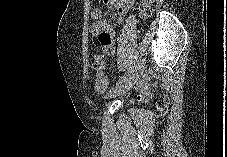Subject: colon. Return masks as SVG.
Listing matches in <instances>:
<instances>
[{
    "instance_id": "5ec220e1",
    "label": "colon",
    "mask_w": 227,
    "mask_h": 157,
    "mask_svg": "<svg viewBox=\"0 0 227 157\" xmlns=\"http://www.w3.org/2000/svg\"><path fill=\"white\" fill-rule=\"evenodd\" d=\"M154 0H140L139 14L142 18H147L153 11ZM106 64V58L103 53H96L91 59V67L96 72H101ZM108 78L106 76H99L94 82V89L98 94H104L108 88ZM142 97L139 96L138 100L141 101Z\"/></svg>"
}]
</instances>
